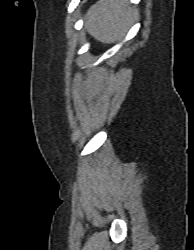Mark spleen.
I'll return each instance as SVG.
<instances>
[{
    "label": "spleen",
    "mask_w": 194,
    "mask_h": 250,
    "mask_svg": "<svg viewBox=\"0 0 194 250\" xmlns=\"http://www.w3.org/2000/svg\"><path fill=\"white\" fill-rule=\"evenodd\" d=\"M136 16L127 0H100L88 10L85 28L98 41L111 44L125 35Z\"/></svg>",
    "instance_id": "spleen-1"
}]
</instances>
